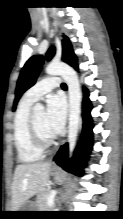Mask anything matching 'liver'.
<instances>
[{
	"label": "liver",
	"instance_id": "6515ba94",
	"mask_svg": "<svg viewBox=\"0 0 123 219\" xmlns=\"http://www.w3.org/2000/svg\"><path fill=\"white\" fill-rule=\"evenodd\" d=\"M51 166V162L17 165L12 183L11 211H18L31 197L45 189Z\"/></svg>",
	"mask_w": 123,
	"mask_h": 219
}]
</instances>
